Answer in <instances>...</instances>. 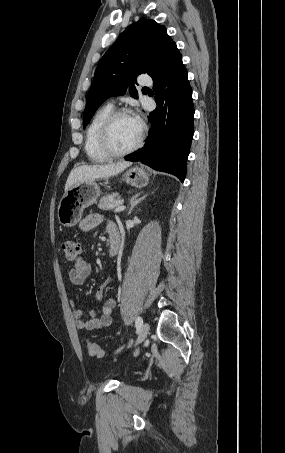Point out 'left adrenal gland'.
Returning <instances> with one entry per match:
<instances>
[{
	"label": "left adrenal gland",
	"instance_id": "obj_1",
	"mask_svg": "<svg viewBox=\"0 0 285 453\" xmlns=\"http://www.w3.org/2000/svg\"><path fill=\"white\" fill-rule=\"evenodd\" d=\"M139 196H140V193L137 194L135 197H133L130 200V209H129V212H128V216L131 214V212L133 211L134 207L147 197V195H145V196H143L141 198H138Z\"/></svg>",
	"mask_w": 285,
	"mask_h": 453
}]
</instances>
